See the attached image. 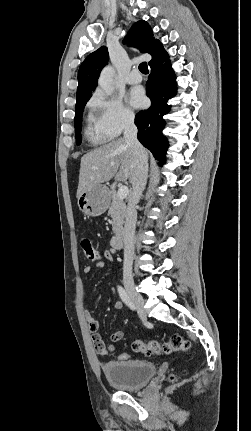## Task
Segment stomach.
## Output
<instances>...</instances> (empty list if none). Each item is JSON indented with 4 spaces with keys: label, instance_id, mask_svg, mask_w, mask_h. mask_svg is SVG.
<instances>
[{
    "label": "stomach",
    "instance_id": "stomach-1",
    "mask_svg": "<svg viewBox=\"0 0 251 431\" xmlns=\"http://www.w3.org/2000/svg\"><path fill=\"white\" fill-rule=\"evenodd\" d=\"M109 190L104 185H97L78 198L79 209L86 215L97 217L102 215L109 207Z\"/></svg>",
    "mask_w": 251,
    "mask_h": 431
}]
</instances>
